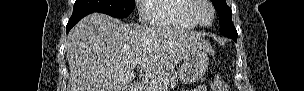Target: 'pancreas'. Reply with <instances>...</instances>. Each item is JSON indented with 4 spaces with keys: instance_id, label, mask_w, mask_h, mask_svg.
<instances>
[{
    "instance_id": "cf45deb5",
    "label": "pancreas",
    "mask_w": 304,
    "mask_h": 91,
    "mask_svg": "<svg viewBox=\"0 0 304 91\" xmlns=\"http://www.w3.org/2000/svg\"><path fill=\"white\" fill-rule=\"evenodd\" d=\"M177 74L165 73L155 78L149 85V91H163L176 86Z\"/></svg>"
}]
</instances>
